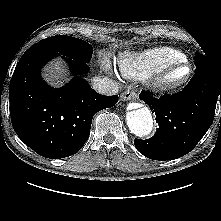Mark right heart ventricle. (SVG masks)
<instances>
[{
  "instance_id": "right-heart-ventricle-1",
  "label": "right heart ventricle",
  "mask_w": 221,
  "mask_h": 221,
  "mask_svg": "<svg viewBox=\"0 0 221 221\" xmlns=\"http://www.w3.org/2000/svg\"><path fill=\"white\" fill-rule=\"evenodd\" d=\"M185 61V55L170 47H158L143 52H124L118 59L121 74L131 80H142L158 74L164 68Z\"/></svg>"
}]
</instances>
